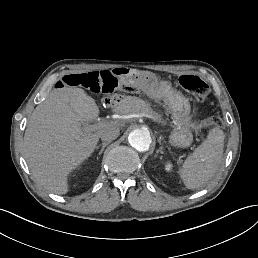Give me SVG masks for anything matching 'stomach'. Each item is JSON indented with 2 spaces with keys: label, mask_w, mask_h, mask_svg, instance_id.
I'll use <instances>...</instances> for the list:
<instances>
[{
  "label": "stomach",
  "mask_w": 258,
  "mask_h": 258,
  "mask_svg": "<svg viewBox=\"0 0 258 258\" xmlns=\"http://www.w3.org/2000/svg\"><path fill=\"white\" fill-rule=\"evenodd\" d=\"M134 77L141 89H145L146 85L148 86L146 91L148 95L156 99H164L167 103L172 113L173 121L175 122V129L169 136V143L175 147H189L193 141V135L188 122L190 113L188 99L181 92L172 88L168 81L157 82L156 78L142 73H136ZM153 80L157 82V87H152Z\"/></svg>",
  "instance_id": "1"
}]
</instances>
